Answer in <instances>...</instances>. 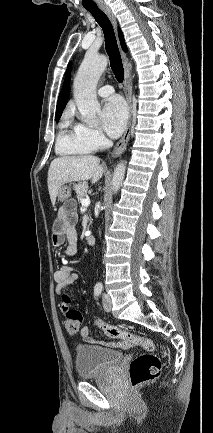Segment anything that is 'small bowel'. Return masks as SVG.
I'll return each instance as SVG.
<instances>
[{"label": "small bowel", "mask_w": 213, "mask_h": 433, "mask_svg": "<svg viewBox=\"0 0 213 433\" xmlns=\"http://www.w3.org/2000/svg\"><path fill=\"white\" fill-rule=\"evenodd\" d=\"M77 221L76 213L68 208H62L54 222L52 242L55 246H61L66 241L67 245L63 248L62 253L65 257L74 256L77 253V242L78 236L75 228ZM76 275L73 273V267L68 260L56 270L54 273V280L57 285V292L59 295H64L63 291L69 285L73 283ZM62 309L64 313H68L71 310H76L71 307L69 301L63 300ZM80 335L88 343H95L96 340L90 336V330L88 327H83L80 331ZM101 344L112 347V348H127L128 344L124 341L114 342H101Z\"/></svg>", "instance_id": "1"}]
</instances>
